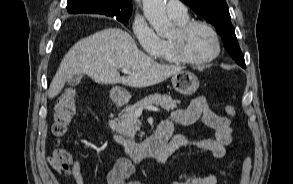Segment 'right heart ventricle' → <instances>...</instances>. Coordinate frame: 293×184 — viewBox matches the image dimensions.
I'll use <instances>...</instances> for the list:
<instances>
[{
	"label": "right heart ventricle",
	"mask_w": 293,
	"mask_h": 184,
	"mask_svg": "<svg viewBox=\"0 0 293 184\" xmlns=\"http://www.w3.org/2000/svg\"><path fill=\"white\" fill-rule=\"evenodd\" d=\"M172 19L176 22L177 25H181L189 21L188 16L183 18H172ZM156 57L159 60L168 62V63L177 62L176 59L172 55L169 39H161V48Z\"/></svg>",
	"instance_id": "1"
}]
</instances>
